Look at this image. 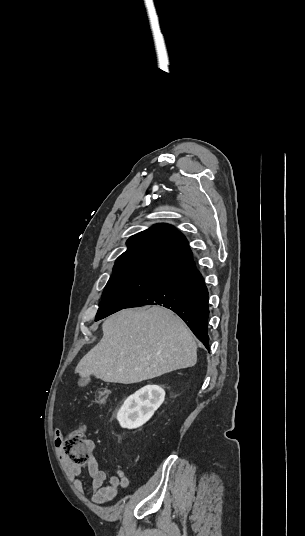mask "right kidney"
Wrapping results in <instances>:
<instances>
[{
    "instance_id": "ca27d5eb",
    "label": "right kidney",
    "mask_w": 305,
    "mask_h": 536,
    "mask_svg": "<svg viewBox=\"0 0 305 536\" xmlns=\"http://www.w3.org/2000/svg\"><path fill=\"white\" fill-rule=\"evenodd\" d=\"M165 392L160 386H144L136 394L127 398L117 414L122 428H139L152 418L154 412L163 404Z\"/></svg>"
}]
</instances>
